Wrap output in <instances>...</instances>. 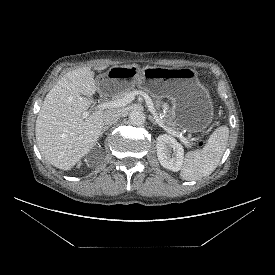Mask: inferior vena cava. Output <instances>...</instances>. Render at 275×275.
Segmentation results:
<instances>
[{
    "mask_svg": "<svg viewBox=\"0 0 275 275\" xmlns=\"http://www.w3.org/2000/svg\"><path fill=\"white\" fill-rule=\"evenodd\" d=\"M121 116H122V113L120 110H116V109L107 110L104 113V124L110 126L116 123Z\"/></svg>",
    "mask_w": 275,
    "mask_h": 275,
    "instance_id": "inferior-vena-cava-1",
    "label": "inferior vena cava"
}]
</instances>
